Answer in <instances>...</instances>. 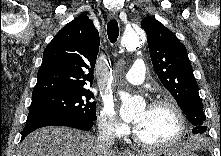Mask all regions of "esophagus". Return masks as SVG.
I'll return each mask as SVG.
<instances>
[{"instance_id":"obj_1","label":"esophagus","mask_w":221,"mask_h":156,"mask_svg":"<svg viewBox=\"0 0 221 156\" xmlns=\"http://www.w3.org/2000/svg\"><path fill=\"white\" fill-rule=\"evenodd\" d=\"M117 17L116 13H111L110 18L115 19ZM123 156H136L132 151L125 149L122 152Z\"/></svg>"}]
</instances>
